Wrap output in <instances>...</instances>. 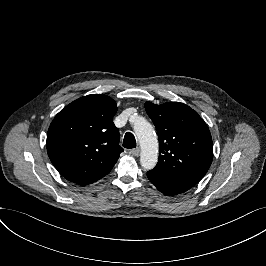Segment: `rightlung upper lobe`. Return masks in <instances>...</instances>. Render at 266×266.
<instances>
[{"mask_svg": "<svg viewBox=\"0 0 266 266\" xmlns=\"http://www.w3.org/2000/svg\"><path fill=\"white\" fill-rule=\"evenodd\" d=\"M116 102L104 94L81 97L53 119L47 133L48 156L67 180L87 185L107 175L121 152L113 123Z\"/></svg>", "mask_w": 266, "mask_h": 266, "instance_id": "1", "label": "right lung upper lobe"}]
</instances>
